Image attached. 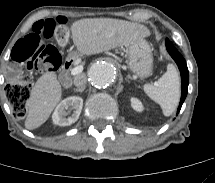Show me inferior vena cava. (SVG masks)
<instances>
[{"instance_id": "obj_1", "label": "inferior vena cava", "mask_w": 215, "mask_h": 183, "mask_svg": "<svg viewBox=\"0 0 215 183\" xmlns=\"http://www.w3.org/2000/svg\"><path fill=\"white\" fill-rule=\"evenodd\" d=\"M87 83V76L85 74H79L74 78V85L77 87H84Z\"/></svg>"}]
</instances>
